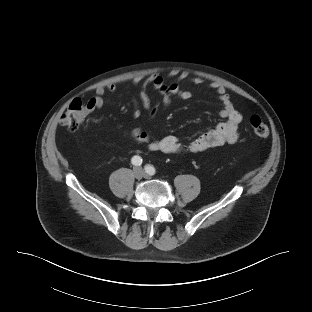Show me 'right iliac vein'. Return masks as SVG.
Listing matches in <instances>:
<instances>
[{
    "instance_id": "1",
    "label": "right iliac vein",
    "mask_w": 312,
    "mask_h": 312,
    "mask_svg": "<svg viewBox=\"0 0 312 312\" xmlns=\"http://www.w3.org/2000/svg\"><path fill=\"white\" fill-rule=\"evenodd\" d=\"M143 174H144V172H143V170H142L141 168H136V169L134 170V176H135L136 178H138V179L142 178V177H143Z\"/></svg>"
}]
</instances>
